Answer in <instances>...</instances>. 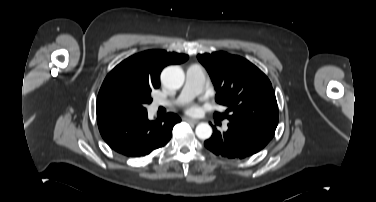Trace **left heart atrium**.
<instances>
[{
  "label": "left heart atrium",
  "mask_w": 376,
  "mask_h": 202,
  "mask_svg": "<svg viewBox=\"0 0 376 202\" xmlns=\"http://www.w3.org/2000/svg\"><path fill=\"white\" fill-rule=\"evenodd\" d=\"M187 111L189 113H196L198 111V108L195 105H191V106L188 107Z\"/></svg>",
  "instance_id": "left-heart-atrium-1"
}]
</instances>
